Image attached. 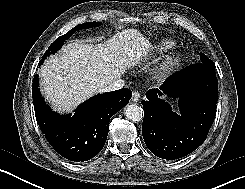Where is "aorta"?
I'll list each match as a JSON object with an SVG mask.
<instances>
[{"label":"aorta","mask_w":245,"mask_h":189,"mask_svg":"<svg viewBox=\"0 0 245 189\" xmlns=\"http://www.w3.org/2000/svg\"><path fill=\"white\" fill-rule=\"evenodd\" d=\"M124 113L125 116L133 122H139L143 118V109L137 104H128L125 107Z\"/></svg>","instance_id":"1"}]
</instances>
